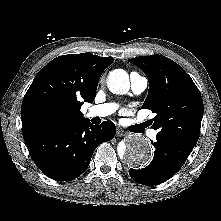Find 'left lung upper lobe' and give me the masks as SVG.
<instances>
[{
    "instance_id": "obj_1",
    "label": "left lung upper lobe",
    "mask_w": 221,
    "mask_h": 221,
    "mask_svg": "<svg viewBox=\"0 0 221 221\" xmlns=\"http://www.w3.org/2000/svg\"><path fill=\"white\" fill-rule=\"evenodd\" d=\"M129 62L148 78L149 92L142 108L156 113L151 121L157 136L194 147L200 134L203 100L190 76L177 63L160 55L131 58Z\"/></svg>"
}]
</instances>
